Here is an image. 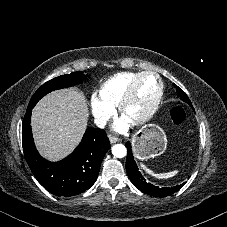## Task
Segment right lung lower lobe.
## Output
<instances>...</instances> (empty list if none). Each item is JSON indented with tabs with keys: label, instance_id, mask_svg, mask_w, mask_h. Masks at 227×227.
Here are the masks:
<instances>
[{
	"label": "right lung lower lobe",
	"instance_id": "obj_1",
	"mask_svg": "<svg viewBox=\"0 0 227 227\" xmlns=\"http://www.w3.org/2000/svg\"><path fill=\"white\" fill-rule=\"evenodd\" d=\"M32 107L22 123V143L26 161L37 180L57 196H74L89 189L96 181L101 162L110 147L104 130L87 128L72 154L59 162H50L38 153L31 130Z\"/></svg>",
	"mask_w": 227,
	"mask_h": 227
}]
</instances>
